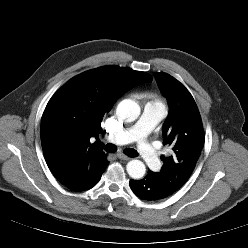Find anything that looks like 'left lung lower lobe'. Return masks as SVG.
I'll list each match as a JSON object with an SVG mask.
<instances>
[{"mask_svg":"<svg viewBox=\"0 0 248 248\" xmlns=\"http://www.w3.org/2000/svg\"><path fill=\"white\" fill-rule=\"evenodd\" d=\"M130 186L137 197L147 201L165 199L173 194L156 179L152 171L141 180H130Z\"/></svg>","mask_w":248,"mask_h":248,"instance_id":"1","label":"left lung lower lobe"}]
</instances>
